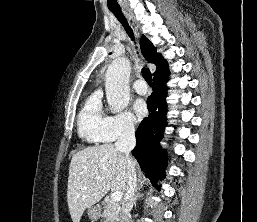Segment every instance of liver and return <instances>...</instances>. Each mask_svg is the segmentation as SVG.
Returning a JSON list of instances; mask_svg holds the SVG:
<instances>
[{"label": "liver", "instance_id": "liver-1", "mask_svg": "<svg viewBox=\"0 0 257 222\" xmlns=\"http://www.w3.org/2000/svg\"><path fill=\"white\" fill-rule=\"evenodd\" d=\"M132 159V158H131ZM134 168L136 162L132 159ZM129 166L126 156L113 144L88 147L73 155L69 166L67 203L73 222H80L111 189L126 192Z\"/></svg>", "mask_w": 257, "mask_h": 222}]
</instances>
